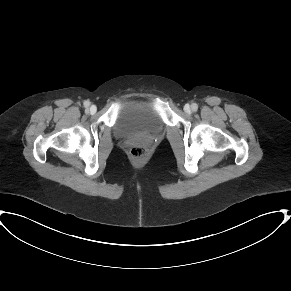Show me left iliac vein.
Wrapping results in <instances>:
<instances>
[{
	"label": "left iliac vein",
	"instance_id": "left-iliac-vein-1",
	"mask_svg": "<svg viewBox=\"0 0 291 291\" xmlns=\"http://www.w3.org/2000/svg\"><path fill=\"white\" fill-rule=\"evenodd\" d=\"M184 110L186 112H190V106L188 104L185 105Z\"/></svg>",
	"mask_w": 291,
	"mask_h": 291
}]
</instances>
